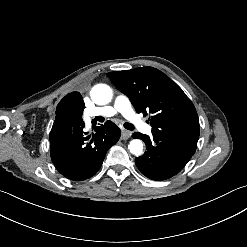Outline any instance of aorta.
<instances>
[{"instance_id": "762f6f07", "label": "aorta", "mask_w": 247, "mask_h": 247, "mask_svg": "<svg viewBox=\"0 0 247 247\" xmlns=\"http://www.w3.org/2000/svg\"><path fill=\"white\" fill-rule=\"evenodd\" d=\"M112 89L106 84H97L91 90V99L98 105L108 104L112 100ZM128 149L135 156L143 153V143L139 139H133L128 145Z\"/></svg>"}]
</instances>
